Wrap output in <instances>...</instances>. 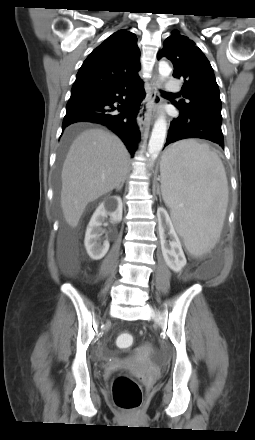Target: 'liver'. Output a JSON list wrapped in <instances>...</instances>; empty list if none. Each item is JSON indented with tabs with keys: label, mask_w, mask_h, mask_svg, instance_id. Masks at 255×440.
I'll list each match as a JSON object with an SVG mask.
<instances>
[{
	"label": "liver",
	"mask_w": 255,
	"mask_h": 440,
	"mask_svg": "<svg viewBox=\"0 0 255 440\" xmlns=\"http://www.w3.org/2000/svg\"><path fill=\"white\" fill-rule=\"evenodd\" d=\"M130 155L123 142L102 129L83 131L63 164L61 208L65 221L77 227L88 203L118 187L128 171ZM167 161L161 163V174Z\"/></svg>",
	"instance_id": "6515ba94"
}]
</instances>
